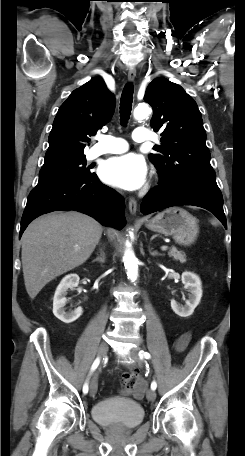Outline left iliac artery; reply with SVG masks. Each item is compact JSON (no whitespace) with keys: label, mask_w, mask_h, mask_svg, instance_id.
I'll list each match as a JSON object with an SVG mask.
<instances>
[{"label":"left iliac artery","mask_w":245,"mask_h":456,"mask_svg":"<svg viewBox=\"0 0 245 456\" xmlns=\"http://www.w3.org/2000/svg\"><path fill=\"white\" fill-rule=\"evenodd\" d=\"M139 356H140V358H146V359H149V358L151 357L150 354H149L148 352H144V351H140V352H139ZM156 387H157V384H156L155 381H153V382L151 383V389L155 390Z\"/></svg>","instance_id":"obj_1"}]
</instances>
